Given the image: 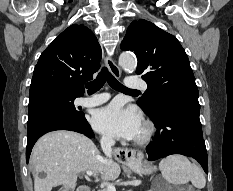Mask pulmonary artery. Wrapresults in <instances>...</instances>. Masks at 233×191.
I'll return each mask as SVG.
<instances>
[{
  "mask_svg": "<svg viewBox=\"0 0 233 191\" xmlns=\"http://www.w3.org/2000/svg\"><path fill=\"white\" fill-rule=\"evenodd\" d=\"M128 88L132 89H147V84L142 79L136 76H130L126 79L125 82ZM109 99V95L106 93L96 94L89 97H81L78 99V104L84 107H94L105 103Z\"/></svg>",
  "mask_w": 233,
  "mask_h": 191,
  "instance_id": "1",
  "label": "pulmonary artery"
}]
</instances>
